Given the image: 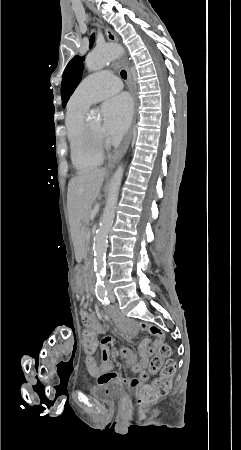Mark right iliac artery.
I'll use <instances>...</instances> for the list:
<instances>
[{"label": "right iliac artery", "mask_w": 241, "mask_h": 450, "mask_svg": "<svg viewBox=\"0 0 241 450\" xmlns=\"http://www.w3.org/2000/svg\"><path fill=\"white\" fill-rule=\"evenodd\" d=\"M96 296L98 298V300L100 302H102V304H109L110 301L108 299V294H107V290L105 287H100L97 291H96Z\"/></svg>", "instance_id": "82829eb1"}]
</instances>
